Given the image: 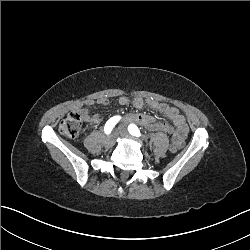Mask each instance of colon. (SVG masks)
<instances>
[{
	"label": "colon",
	"instance_id": "5ec220e1",
	"mask_svg": "<svg viewBox=\"0 0 250 250\" xmlns=\"http://www.w3.org/2000/svg\"><path fill=\"white\" fill-rule=\"evenodd\" d=\"M78 112H71L67 114L59 124V132L66 138L74 139L76 138L81 130L82 120ZM179 143L177 140H172L171 146L168 151L174 154L179 148Z\"/></svg>",
	"mask_w": 250,
	"mask_h": 250
}]
</instances>
